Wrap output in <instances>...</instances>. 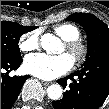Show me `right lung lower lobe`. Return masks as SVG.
Segmentation results:
<instances>
[{"label":"right lung lower lobe","mask_w":109,"mask_h":109,"mask_svg":"<svg viewBox=\"0 0 109 109\" xmlns=\"http://www.w3.org/2000/svg\"><path fill=\"white\" fill-rule=\"evenodd\" d=\"M22 63L20 58L1 57V109L10 108L16 101L20 90L29 76L10 77V71L17 69Z\"/></svg>","instance_id":"98d812e1"}]
</instances>
